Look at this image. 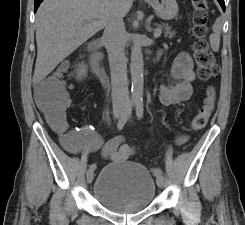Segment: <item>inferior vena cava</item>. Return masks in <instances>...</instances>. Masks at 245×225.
<instances>
[{"label": "inferior vena cava", "mask_w": 245, "mask_h": 225, "mask_svg": "<svg viewBox=\"0 0 245 225\" xmlns=\"http://www.w3.org/2000/svg\"><path fill=\"white\" fill-rule=\"evenodd\" d=\"M103 41L109 56L112 84L113 109L126 107L129 103L127 64L125 57V26L123 16L116 10L107 18Z\"/></svg>", "instance_id": "1"}]
</instances>
